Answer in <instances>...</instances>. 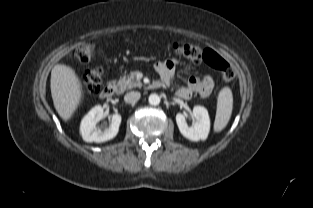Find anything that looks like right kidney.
Returning <instances> with one entry per match:
<instances>
[{"label": "right kidney", "mask_w": 313, "mask_h": 208, "mask_svg": "<svg viewBox=\"0 0 313 208\" xmlns=\"http://www.w3.org/2000/svg\"><path fill=\"white\" fill-rule=\"evenodd\" d=\"M103 108L100 105L93 107L82 119L80 133L85 142L101 143L113 139L121 123V116L114 114L110 126L104 130L96 127V124L103 118Z\"/></svg>", "instance_id": "right-kidney-1"}]
</instances>
